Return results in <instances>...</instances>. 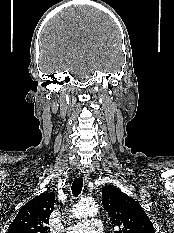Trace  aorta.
Listing matches in <instances>:
<instances>
[{"label": "aorta", "instance_id": "aorta-1", "mask_svg": "<svg viewBox=\"0 0 174 233\" xmlns=\"http://www.w3.org/2000/svg\"><path fill=\"white\" fill-rule=\"evenodd\" d=\"M72 212L76 218L93 217L98 213V206L94 203L81 201L73 207Z\"/></svg>", "mask_w": 174, "mask_h": 233}]
</instances>
